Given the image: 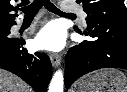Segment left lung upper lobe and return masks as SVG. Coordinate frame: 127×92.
Instances as JSON below:
<instances>
[{"label":"left lung upper lobe","mask_w":127,"mask_h":92,"mask_svg":"<svg viewBox=\"0 0 127 92\" xmlns=\"http://www.w3.org/2000/svg\"><path fill=\"white\" fill-rule=\"evenodd\" d=\"M87 13V27L100 23L127 25V9L124 0H77ZM76 31H80L75 28Z\"/></svg>","instance_id":"1"}]
</instances>
